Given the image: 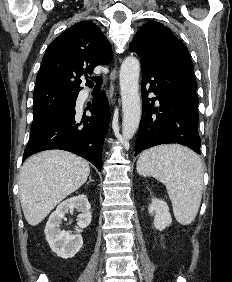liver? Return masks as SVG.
<instances>
[{
    "instance_id": "liver-1",
    "label": "liver",
    "mask_w": 232,
    "mask_h": 282,
    "mask_svg": "<svg viewBox=\"0 0 232 282\" xmlns=\"http://www.w3.org/2000/svg\"><path fill=\"white\" fill-rule=\"evenodd\" d=\"M90 174L87 161L63 150H47L28 158L20 172L19 195L26 221L39 224Z\"/></svg>"
}]
</instances>
